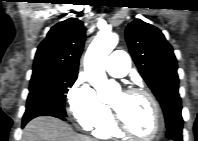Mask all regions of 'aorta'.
Returning <instances> with one entry per match:
<instances>
[{
    "mask_svg": "<svg viewBox=\"0 0 198 141\" xmlns=\"http://www.w3.org/2000/svg\"><path fill=\"white\" fill-rule=\"evenodd\" d=\"M118 41L119 37L116 33H98L85 54V73L89 83L96 89L98 99L102 102H109L119 90L117 83L108 80L105 73V61Z\"/></svg>",
    "mask_w": 198,
    "mask_h": 141,
    "instance_id": "1",
    "label": "aorta"
}]
</instances>
